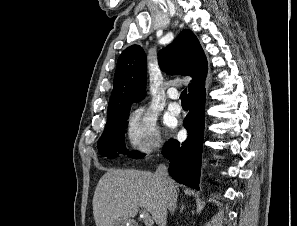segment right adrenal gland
<instances>
[{
	"label": "right adrenal gland",
	"mask_w": 297,
	"mask_h": 226,
	"mask_svg": "<svg viewBox=\"0 0 297 226\" xmlns=\"http://www.w3.org/2000/svg\"><path fill=\"white\" fill-rule=\"evenodd\" d=\"M183 210H184V204H183V202H182V203H181V209H180V212L182 213Z\"/></svg>",
	"instance_id": "1"
}]
</instances>
